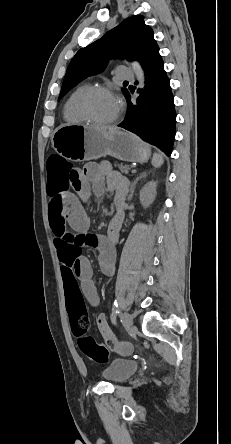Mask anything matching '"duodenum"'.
Listing matches in <instances>:
<instances>
[{
	"label": "duodenum",
	"mask_w": 231,
	"mask_h": 444,
	"mask_svg": "<svg viewBox=\"0 0 231 444\" xmlns=\"http://www.w3.org/2000/svg\"><path fill=\"white\" fill-rule=\"evenodd\" d=\"M119 219V214L117 213L114 218L112 219V221L115 223L117 220Z\"/></svg>",
	"instance_id": "410a0bca"
}]
</instances>
